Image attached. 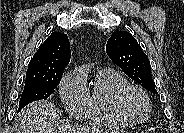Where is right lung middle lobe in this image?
I'll return each mask as SVG.
<instances>
[{
  "label": "right lung middle lobe",
  "mask_w": 184,
  "mask_h": 133,
  "mask_svg": "<svg viewBox=\"0 0 184 133\" xmlns=\"http://www.w3.org/2000/svg\"><path fill=\"white\" fill-rule=\"evenodd\" d=\"M60 80L61 77H54L46 82H25V87L19 102L18 112L27 104L33 101L47 99L49 96L54 94V89L59 85Z\"/></svg>",
  "instance_id": "dd1d6c3e"
}]
</instances>
